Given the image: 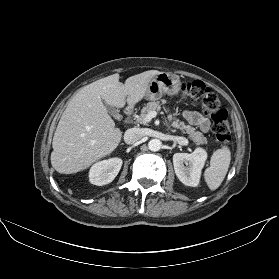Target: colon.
<instances>
[{
  "mask_svg": "<svg viewBox=\"0 0 279 279\" xmlns=\"http://www.w3.org/2000/svg\"><path fill=\"white\" fill-rule=\"evenodd\" d=\"M182 97L199 105L201 112L213 121V133L216 140L227 144L231 140L227 111L223 108L219 97L201 81H192L182 87Z\"/></svg>",
  "mask_w": 279,
  "mask_h": 279,
  "instance_id": "colon-1",
  "label": "colon"
}]
</instances>
